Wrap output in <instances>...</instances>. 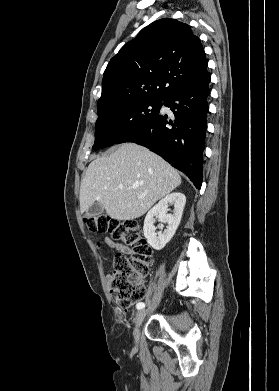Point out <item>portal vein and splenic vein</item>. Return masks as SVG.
<instances>
[{
	"mask_svg": "<svg viewBox=\"0 0 279 391\" xmlns=\"http://www.w3.org/2000/svg\"><path fill=\"white\" fill-rule=\"evenodd\" d=\"M120 189H123V186H120Z\"/></svg>",
	"mask_w": 279,
	"mask_h": 391,
	"instance_id": "obj_1",
	"label": "portal vein and splenic vein"
}]
</instances>
